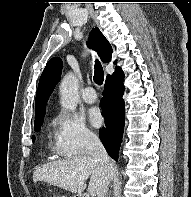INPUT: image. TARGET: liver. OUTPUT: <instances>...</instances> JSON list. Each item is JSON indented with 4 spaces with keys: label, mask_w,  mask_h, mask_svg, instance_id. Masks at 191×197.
I'll return each mask as SVG.
<instances>
[{
    "label": "liver",
    "mask_w": 191,
    "mask_h": 197,
    "mask_svg": "<svg viewBox=\"0 0 191 197\" xmlns=\"http://www.w3.org/2000/svg\"><path fill=\"white\" fill-rule=\"evenodd\" d=\"M113 171L112 165V175ZM88 177V192L97 196L104 180V169L92 156L82 155L44 164L35 170L33 181H45L81 195L86 188L85 180Z\"/></svg>",
    "instance_id": "liver-1"
}]
</instances>
